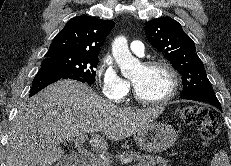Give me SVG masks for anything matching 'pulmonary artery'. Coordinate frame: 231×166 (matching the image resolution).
Here are the masks:
<instances>
[{
  "instance_id": "e3ab8cb5",
  "label": "pulmonary artery",
  "mask_w": 231,
  "mask_h": 166,
  "mask_svg": "<svg viewBox=\"0 0 231 166\" xmlns=\"http://www.w3.org/2000/svg\"><path fill=\"white\" fill-rule=\"evenodd\" d=\"M129 47H130V50L132 53H134L138 56L144 55L145 47H144L143 42L138 41V40L132 41L130 43Z\"/></svg>"
}]
</instances>
